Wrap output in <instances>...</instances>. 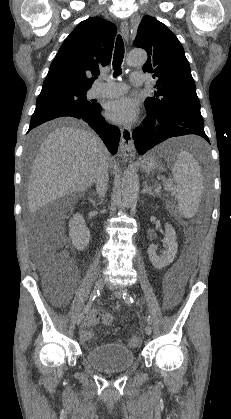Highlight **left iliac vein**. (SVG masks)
<instances>
[{"mask_svg": "<svg viewBox=\"0 0 231 419\" xmlns=\"http://www.w3.org/2000/svg\"><path fill=\"white\" fill-rule=\"evenodd\" d=\"M124 290H125V289H124V287H123V286H120V287L116 288V289L114 290V294H115V296H116L117 298L121 299V298H122V295H123ZM145 333H146V335H150V334L152 333V327H151L150 325H146V326H145Z\"/></svg>", "mask_w": 231, "mask_h": 419, "instance_id": "left-iliac-vein-1", "label": "left iliac vein"}]
</instances>
